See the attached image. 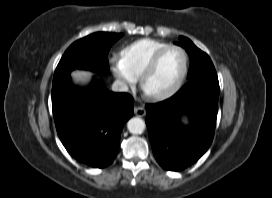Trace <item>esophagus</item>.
I'll return each mask as SVG.
<instances>
[{"instance_id":"34e87169","label":"esophagus","mask_w":272,"mask_h":198,"mask_svg":"<svg viewBox=\"0 0 272 198\" xmlns=\"http://www.w3.org/2000/svg\"><path fill=\"white\" fill-rule=\"evenodd\" d=\"M134 114L139 117H143L146 114V110L142 106H135Z\"/></svg>"}]
</instances>
